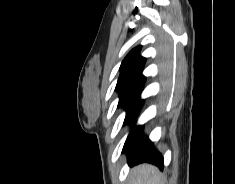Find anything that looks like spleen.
Masks as SVG:
<instances>
[{
	"label": "spleen",
	"mask_w": 235,
	"mask_h": 184,
	"mask_svg": "<svg viewBox=\"0 0 235 184\" xmlns=\"http://www.w3.org/2000/svg\"><path fill=\"white\" fill-rule=\"evenodd\" d=\"M137 172L135 184H165L166 180L158 168L150 166V164H143L139 168H135Z\"/></svg>",
	"instance_id": "obj_1"
}]
</instances>
